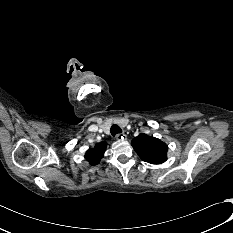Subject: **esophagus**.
Wrapping results in <instances>:
<instances>
[{
	"label": "esophagus",
	"instance_id": "1",
	"mask_svg": "<svg viewBox=\"0 0 233 233\" xmlns=\"http://www.w3.org/2000/svg\"><path fill=\"white\" fill-rule=\"evenodd\" d=\"M116 139L118 141L126 140L127 136L124 133H118V134H116Z\"/></svg>",
	"mask_w": 233,
	"mask_h": 233
}]
</instances>
